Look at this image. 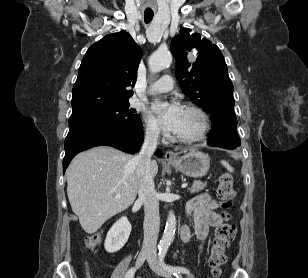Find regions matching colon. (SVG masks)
<instances>
[{
    "mask_svg": "<svg viewBox=\"0 0 308 278\" xmlns=\"http://www.w3.org/2000/svg\"><path fill=\"white\" fill-rule=\"evenodd\" d=\"M234 195L233 178L229 173L224 172L219 177L217 187V197L221 203L224 221L215 230L208 258L211 273L215 278H218L221 274V268L226 261V250L236 233L235 226L230 223L231 216L228 212L232 205ZM101 235L103 237H108L110 232L108 230H103ZM100 239L101 237L99 235H94L87 237L85 242L87 247L94 248L99 243Z\"/></svg>",
    "mask_w": 308,
    "mask_h": 278,
    "instance_id": "1",
    "label": "colon"
}]
</instances>
